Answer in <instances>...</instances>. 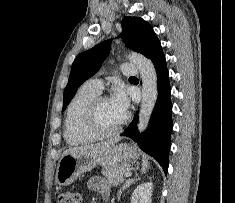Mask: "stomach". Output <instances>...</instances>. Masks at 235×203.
Returning <instances> with one entry per match:
<instances>
[{
  "label": "stomach",
  "instance_id": "1",
  "mask_svg": "<svg viewBox=\"0 0 235 203\" xmlns=\"http://www.w3.org/2000/svg\"><path fill=\"white\" fill-rule=\"evenodd\" d=\"M137 157L136 148L127 143L68 154L59 160L55 175L56 182L60 186H68L80 175L91 171L96 166L128 164Z\"/></svg>",
  "mask_w": 235,
  "mask_h": 203
}]
</instances>
